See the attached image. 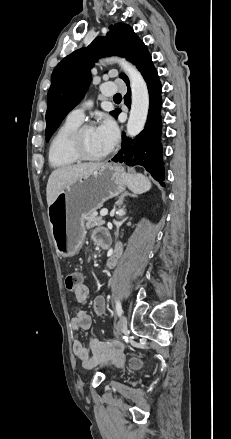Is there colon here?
Masks as SVG:
<instances>
[{
    "mask_svg": "<svg viewBox=\"0 0 231 439\" xmlns=\"http://www.w3.org/2000/svg\"><path fill=\"white\" fill-rule=\"evenodd\" d=\"M78 283H86L83 276V271L80 268H73L72 270H67L65 285L68 290L71 289L70 291L72 295H76L75 288L78 285ZM128 364L133 369H139L142 367L143 361L140 356L134 355L129 358Z\"/></svg>",
    "mask_w": 231,
    "mask_h": 439,
    "instance_id": "obj_1",
    "label": "colon"
}]
</instances>
